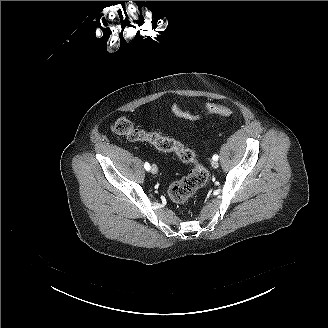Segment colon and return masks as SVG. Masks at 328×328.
Listing matches in <instances>:
<instances>
[{
    "instance_id": "5ec220e1",
    "label": "colon",
    "mask_w": 328,
    "mask_h": 328,
    "mask_svg": "<svg viewBox=\"0 0 328 328\" xmlns=\"http://www.w3.org/2000/svg\"><path fill=\"white\" fill-rule=\"evenodd\" d=\"M172 112L175 116L188 121H197L202 117V114H192L186 111L179 103L172 105ZM232 113L233 111L229 107L215 103L207 104L203 110V114H216L224 117L231 116ZM114 130L128 140L148 142L161 151L176 154L182 162L192 164L189 173L169 187V196L174 203H185L206 184L208 171L197 160L195 153L180 141L164 137L157 132L138 129L127 117H120L114 125Z\"/></svg>"
}]
</instances>
